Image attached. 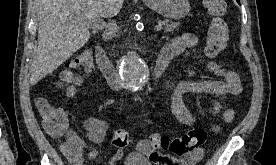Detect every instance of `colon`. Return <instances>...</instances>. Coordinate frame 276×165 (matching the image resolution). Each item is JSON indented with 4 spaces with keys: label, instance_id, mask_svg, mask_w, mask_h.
Returning a JSON list of instances; mask_svg holds the SVG:
<instances>
[{
    "label": "colon",
    "instance_id": "1",
    "mask_svg": "<svg viewBox=\"0 0 276 165\" xmlns=\"http://www.w3.org/2000/svg\"><path fill=\"white\" fill-rule=\"evenodd\" d=\"M205 12L212 17L206 40L205 53L208 57H215L226 47L229 27L225 20L227 5L224 0H202ZM93 67V53L90 49L80 51L67 64L60 77V87L67 95H73L75 88L81 84L82 76ZM37 111L42 119L43 126L52 135L58 136L67 128L65 113L53 106L44 96L35 98ZM207 132L203 128H194L186 134L171 138L158 133L151 134L139 149L148 158L155 159L158 150L170 151L176 156L189 155L206 142ZM131 143V137L127 130L119 129L112 135V144L117 149H124ZM63 149L69 154L76 153L78 144L67 138Z\"/></svg>",
    "mask_w": 276,
    "mask_h": 165
}]
</instances>
